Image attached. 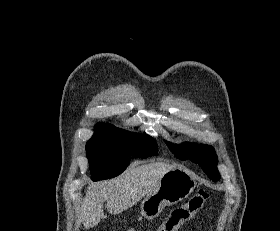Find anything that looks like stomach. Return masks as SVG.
<instances>
[{
  "instance_id": "obj_1",
  "label": "stomach",
  "mask_w": 280,
  "mask_h": 231,
  "mask_svg": "<svg viewBox=\"0 0 280 231\" xmlns=\"http://www.w3.org/2000/svg\"><path fill=\"white\" fill-rule=\"evenodd\" d=\"M196 187L195 177L185 167H173L159 179L155 189L144 197L140 207L141 215L154 219L165 205L178 203L188 197Z\"/></svg>"
}]
</instances>
